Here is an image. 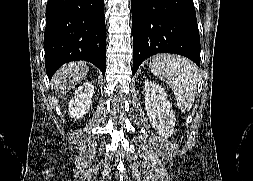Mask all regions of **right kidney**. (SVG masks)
<instances>
[{
    "mask_svg": "<svg viewBox=\"0 0 253 181\" xmlns=\"http://www.w3.org/2000/svg\"><path fill=\"white\" fill-rule=\"evenodd\" d=\"M75 96L69 101V114L72 118H82L90 109L94 85L89 82L84 83L75 90Z\"/></svg>",
    "mask_w": 253,
    "mask_h": 181,
    "instance_id": "right-kidney-1",
    "label": "right kidney"
}]
</instances>
